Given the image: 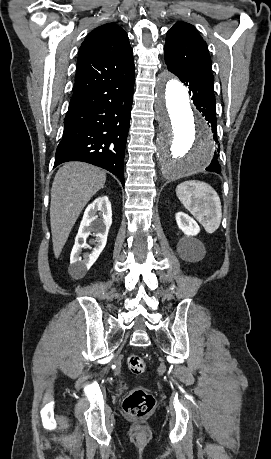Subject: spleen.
Segmentation results:
<instances>
[{
	"mask_svg": "<svg viewBox=\"0 0 271 459\" xmlns=\"http://www.w3.org/2000/svg\"><path fill=\"white\" fill-rule=\"evenodd\" d=\"M176 194L181 204L195 216L208 233H213L219 228L222 220L221 202L211 186L191 180L179 184Z\"/></svg>",
	"mask_w": 271,
	"mask_h": 459,
	"instance_id": "3e777b00",
	"label": "spleen"
}]
</instances>
